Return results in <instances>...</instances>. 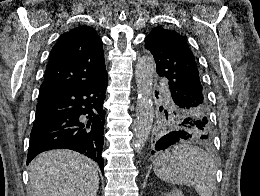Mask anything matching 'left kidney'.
Returning <instances> with one entry per match:
<instances>
[{
	"label": "left kidney",
	"mask_w": 260,
	"mask_h": 196,
	"mask_svg": "<svg viewBox=\"0 0 260 196\" xmlns=\"http://www.w3.org/2000/svg\"><path fill=\"white\" fill-rule=\"evenodd\" d=\"M165 196H184V194H182V192H179V190H172L170 194H165Z\"/></svg>",
	"instance_id": "1"
}]
</instances>
